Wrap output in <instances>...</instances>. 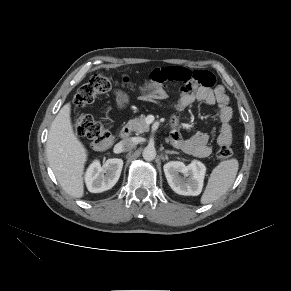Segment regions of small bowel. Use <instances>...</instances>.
<instances>
[{
  "label": "small bowel",
  "instance_id": "small-bowel-1",
  "mask_svg": "<svg viewBox=\"0 0 291 291\" xmlns=\"http://www.w3.org/2000/svg\"><path fill=\"white\" fill-rule=\"evenodd\" d=\"M154 78L147 88L140 89V99L143 101H162L167 98L164 89L166 82H178L181 84V92L174 105L176 111H183L192 103L198 101L209 107H216L220 121V132L217 137L219 146L230 145L232 142L231 119L233 112L229 106V98L221 85L214 86L215 77L208 71H194L174 66L157 68L152 71ZM117 105L123 108L128 103V95L122 91L114 93ZM178 116L173 119L174 129L171 131L172 144L184 152L204 158L207 157L211 148L209 135L206 132H197L189 138H183L176 128Z\"/></svg>",
  "mask_w": 291,
  "mask_h": 291
}]
</instances>
